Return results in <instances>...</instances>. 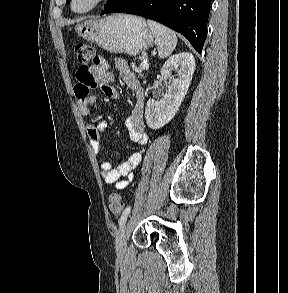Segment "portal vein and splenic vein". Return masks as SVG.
I'll return each mask as SVG.
<instances>
[{"label":"portal vein and splenic vein","instance_id":"18ae733b","mask_svg":"<svg viewBox=\"0 0 288 293\" xmlns=\"http://www.w3.org/2000/svg\"><path fill=\"white\" fill-rule=\"evenodd\" d=\"M140 68L141 69H148L149 68V62H148V59H144L142 61V63L140 64Z\"/></svg>","mask_w":288,"mask_h":293}]
</instances>
